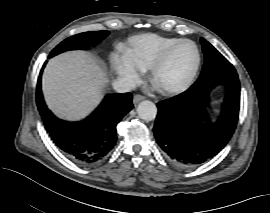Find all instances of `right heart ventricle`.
<instances>
[{
    "label": "right heart ventricle",
    "mask_w": 270,
    "mask_h": 213,
    "mask_svg": "<svg viewBox=\"0 0 270 213\" xmlns=\"http://www.w3.org/2000/svg\"><path fill=\"white\" fill-rule=\"evenodd\" d=\"M177 40L157 34L139 35L131 38L129 46L122 49V57L134 68L147 69L162 50Z\"/></svg>",
    "instance_id": "right-heart-ventricle-1"
}]
</instances>
